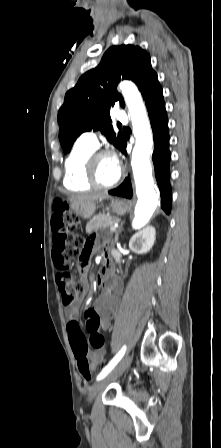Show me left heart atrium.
Returning <instances> with one entry per match:
<instances>
[{"label":"left heart atrium","mask_w":221,"mask_h":448,"mask_svg":"<svg viewBox=\"0 0 221 448\" xmlns=\"http://www.w3.org/2000/svg\"><path fill=\"white\" fill-rule=\"evenodd\" d=\"M114 161H115L116 166L119 168L118 160L115 157H114Z\"/></svg>","instance_id":"1"}]
</instances>
